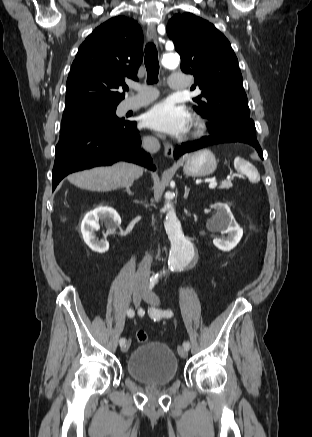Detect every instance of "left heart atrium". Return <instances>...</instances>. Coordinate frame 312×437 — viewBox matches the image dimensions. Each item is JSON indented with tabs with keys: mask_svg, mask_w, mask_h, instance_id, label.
<instances>
[{
	"mask_svg": "<svg viewBox=\"0 0 312 437\" xmlns=\"http://www.w3.org/2000/svg\"><path fill=\"white\" fill-rule=\"evenodd\" d=\"M144 120L149 127L155 130L179 135L188 129L191 116L185 107L165 100L153 106L145 114Z\"/></svg>",
	"mask_w": 312,
	"mask_h": 437,
	"instance_id": "39dd6f15",
	"label": "left heart atrium"
}]
</instances>
